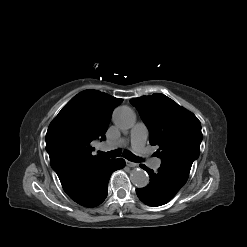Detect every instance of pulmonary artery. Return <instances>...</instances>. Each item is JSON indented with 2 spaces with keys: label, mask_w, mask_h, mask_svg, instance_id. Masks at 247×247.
Here are the masks:
<instances>
[{
  "label": "pulmonary artery",
  "mask_w": 247,
  "mask_h": 247,
  "mask_svg": "<svg viewBox=\"0 0 247 247\" xmlns=\"http://www.w3.org/2000/svg\"><path fill=\"white\" fill-rule=\"evenodd\" d=\"M148 137V129L146 125L142 122H138L134 125L131 130L130 138L133 149L137 153H143L144 147L146 143V139ZM161 165V159L156 158L151 161V166L153 168H159Z\"/></svg>",
  "instance_id": "1"
}]
</instances>
